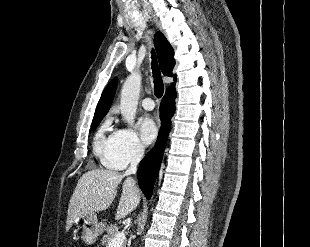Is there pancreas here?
<instances>
[{
	"instance_id": "cf45deb5",
	"label": "pancreas",
	"mask_w": 310,
	"mask_h": 247,
	"mask_svg": "<svg viewBox=\"0 0 310 247\" xmlns=\"http://www.w3.org/2000/svg\"><path fill=\"white\" fill-rule=\"evenodd\" d=\"M107 234H105L101 240L102 245H105L108 247L109 242L116 236V234L119 233V227L115 225H110L107 229ZM121 247H125V244H123Z\"/></svg>"
}]
</instances>
